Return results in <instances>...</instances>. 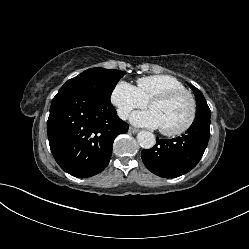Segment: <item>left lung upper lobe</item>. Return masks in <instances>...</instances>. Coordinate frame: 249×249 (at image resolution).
<instances>
[{
    "mask_svg": "<svg viewBox=\"0 0 249 249\" xmlns=\"http://www.w3.org/2000/svg\"><path fill=\"white\" fill-rule=\"evenodd\" d=\"M189 86L193 90L195 97H196V102H197V111H196L195 118L210 117L211 115L210 109L201 91L192 85H189Z\"/></svg>",
    "mask_w": 249,
    "mask_h": 249,
    "instance_id": "left-lung-upper-lobe-1",
    "label": "left lung upper lobe"
}]
</instances>
